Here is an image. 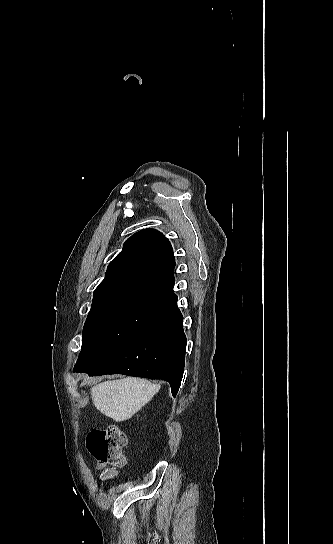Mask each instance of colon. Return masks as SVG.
Listing matches in <instances>:
<instances>
[{"label": "colon", "mask_w": 333, "mask_h": 544, "mask_svg": "<svg viewBox=\"0 0 333 544\" xmlns=\"http://www.w3.org/2000/svg\"><path fill=\"white\" fill-rule=\"evenodd\" d=\"M127 444L125 433L117 426L95 429L89 433L86 441L87 449L103 470L102 478L115 476L116 469L125 465L123 449Z\"/></svg>", "instance_id": "colon-1"}]
</instances>
